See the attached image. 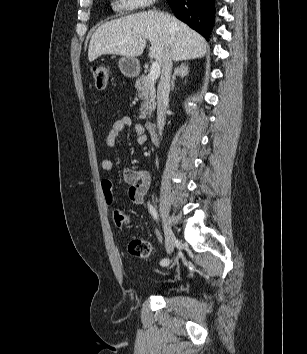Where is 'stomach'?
I'll return each instance as SVG.
<instances>
[{"instance_id": "0dacf381", "label": "stomach", "mask_w": 307, "mask_h": 354, "mask_svg": "<svg viewBox=\"0 0 307 354\" xmlns=\"http://www.w3.org/2000/svg\"><path fill=\"white\" fill-rule=\"evenodd\" d=\"M119 69L127 77H135L139 74L140 63L134 57H122L118 63Z\"/></svg>"}]
</instances>
